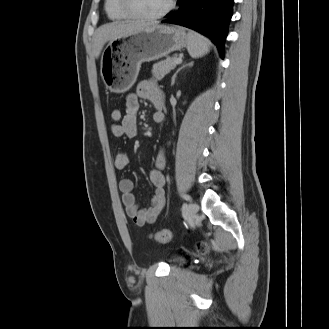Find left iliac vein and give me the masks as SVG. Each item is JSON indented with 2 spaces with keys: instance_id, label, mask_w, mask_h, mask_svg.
I'll list each match as a JSON object with an SVG mask.
<instances>
[{
  "instance_id": "left-iliac-vein-1",
  "label": "left iliac vein",
  "mask_w": 329,
  "mask_h": 329,
  "mask_svg": "<svg viewBox=\"0 0 329 329\" xmlns=\"http://www.w3.org/2000/svg\"><path fill=\"white\" fill-rule=\"evenodd\" d=\"M199 211V205L196 202H191L188 205V217L191 221L194 220L195 216Z\"/></svg>"
}]
</instances>
